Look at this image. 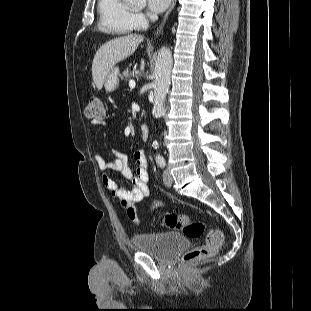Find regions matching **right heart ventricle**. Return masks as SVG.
<instances>
[{
  "instance_id": "1",
  "label": "right heart ventricle",
  "mask_w": 311,
  "mask_h": 311,
  "mask_svg": "<svg viewBox=\"0 0 311 311\" xmlns=\"http://www.w3.org/2000/svg\"><path fill=\"white\" fill-rule=\"evenodd\" d=\"M99 28L107 33L126 35L136 28L133 13L124 0H98Z\"/></svg>"
}]
</instances>
